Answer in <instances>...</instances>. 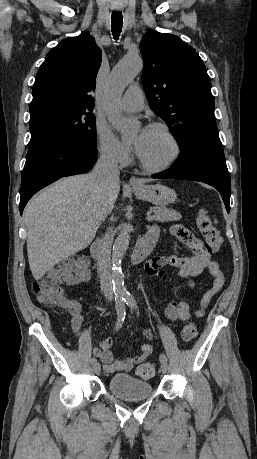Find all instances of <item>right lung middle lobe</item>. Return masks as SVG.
Masks as SVG:
<instances>
[{"instance_id": "dd1d6c3e", "label": "right lung middle lobe", "mask_w": 257, "mask_h": 459, "mask_svg": "<svg viewBox=\"0 0 257 459\" xmlns=\"http://www.w3.org/2000/svg\"><path fill=\"white\" fill-rule=\"evenodd\" d=\"M30 113L31 138L52 137L96 147L95 116L91 109L50 106Z\"/></svg>"}]
</instances>
